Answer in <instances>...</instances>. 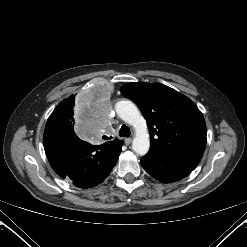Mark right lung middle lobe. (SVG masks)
Here are the masks:
<instances>
[{
    "label": "right lung middle lobe",
    "instance_id": "dd1d6c3e",
    "mask_svg": "<svg viewBox=\"0 0 247 247\" xmlns=\"http://www.w3.org/2000/svg\"><path fill=\"white\" fill-rule=\"evenodd\" d=\"M73 104H68L59 109H54L52 114L50 115L48 122L60 123L66 126L74 128V118L72 116V107Z\"/></svg>",
    "mask_w": 247,
    "mask_h": 247
}]
</instances>
